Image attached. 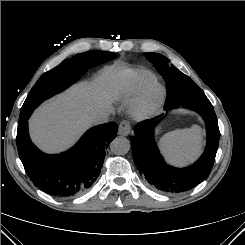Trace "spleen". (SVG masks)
Here are the masks:
<instances>
[{
    "label": "spleen",
    "instance_id": "1",
    "mask_svg": "<svg viewBox=\"0 0 245 245\" xmlns=\"http://www.w3.org/2000/svg\"><path fill=\"white\" fill-rule=\"evenodd\" d=\"M160 148L169 162L182 165L192 160L201 148V131L198 126L179 129L160 139Z\"/></svg>",
    "mask_w": 245,
    "mask_h": 245
}]
</instances>
